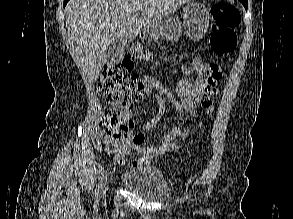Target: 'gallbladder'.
<instances>
[{
	"label": "gallbladder",
	"mask_w": 293,
	"mask_h": 219,
	"mask_svg": "<svg viewBox=\"0 0 293 219\" xmlns=\"http://www.w3.org/2000/svg\"><path fill=\"white\" fill-rule=\"evenodd\" d=\"M127 49V41L124 38H116L107 47L105 52V64L108 66H115L125 56Z\"/></svg>",
	"instance_id": "1"
}]
</instances>
